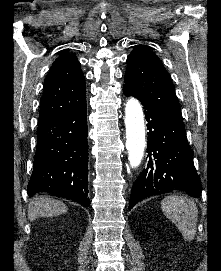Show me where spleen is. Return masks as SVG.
Returning <instances> with one entry per match:
<instances>
[{
	"label": "spleen",
	"instance_id": "spleen-1",
	"mask_svg": "<svg viewBox=\"0 0 221 271\" xmlns=\"http://www.w3.org/2000/svg\"><path fill=\"white\" fill-rule=\"evenodd\" d=\"M164 215L177 225L185 241L194 239L198 221V209L193 199L184 195H169L161 201Z\"/></svg>",
	"mask_w": 221,
	"mask_h": 271
}]
</instances>
